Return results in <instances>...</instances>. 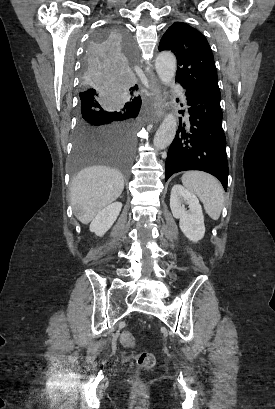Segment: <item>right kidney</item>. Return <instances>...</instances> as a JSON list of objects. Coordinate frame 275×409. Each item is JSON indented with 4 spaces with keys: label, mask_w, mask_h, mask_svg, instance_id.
Here are the masks:
<instances>
[{
    "label": "right kidney",
    "mask_w": 275,
    "mask_h": 409,
    "mask_svg": "<svg viewBox=\"0 0 275 409\" xmlns=\"http://www.w3.org/2000/svg\"><path fill=\"white\" fill-rule=\"evenodd\" d=\"M122 209V202H112V205L105 207L103 211L98 213L97 217L93 219L90 225L91 233H95L96 237H103L113 223H115L120 211Z\"/></svg>",
    "instance_id": "ca27d5eb"
}]
</instances>
